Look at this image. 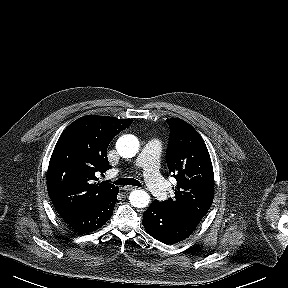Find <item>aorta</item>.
<instances>
[{
  "mask_svg": "<svg viewBox=\"0 0 288 288\" xmlns=\"http://www.w3.org/2000/svg\"><path fill=\"white\" fill-rule=\"evenodd\" d=\"M116 149L123 158L134 157L139 150V141L134 135H123L116 143ZM130 204L136 208H144L150 203V196L144 190H134L129 195Z\"/></svg>",
  "mask_w": 288,
  "mask_h": 288,
  "instance_id": "aorta-1",
  "label": "aorta"
}]
</instances>
